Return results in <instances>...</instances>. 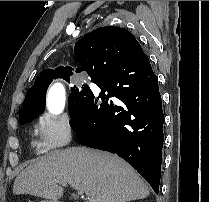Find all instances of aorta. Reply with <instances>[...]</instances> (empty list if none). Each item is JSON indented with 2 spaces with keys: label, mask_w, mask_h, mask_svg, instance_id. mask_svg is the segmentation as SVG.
<instances>
[{
  "label": "aorta",
  "mask_w": 209,
  "mask_h": 202,
  "mask_svg": "<svg viewBox=\"0 0 209 202\" xmlns=\"http://www.w3.org/2000/svg\"><path fill=\"white\" fill-rule=\"evenodd\" d=\"M47 106L52 114H60L62 112L64 107V87L61 84H54L50 88Z\"/></svg>",
  "instance_id": "762f6f07"
}]
</instances>
